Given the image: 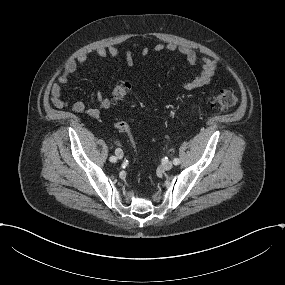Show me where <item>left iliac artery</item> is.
<instances>
[{
    "label": "left iliac artery",
    "instance_id": "left-iliac-artery-1",
    "mask_svg": "<svg viewBox=\"0 0 285 285\" xmlns=\"http://www.w3.org/2000/svg\"><path fill=\"white\" fill-rule=\"evenodd\" d=\"M173 164H174V165H179V164H180V160H179L178 158H175V159L173 160Z\"/></svg>",
    "mask_w": 285,
    "mask_h": 285
}]
</instances>
